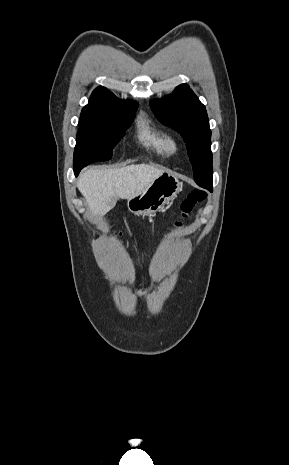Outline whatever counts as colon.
<instances>
[{
	"label": "colon",
	"mask_w": 289,
	"mask_h": 465,
	"mask_svg": "<svg viewBox=\"0 0 289 465\" xmlns=\"http://www.w3.org/2000/svg\"><path fill=\"white\" fill-rule=\"evenodd\" d=\"M207 192L203 189H194L192 190L186 198L182 201L180 205L181 209V219L175 222L176 226H180L183 223V220L186 219L195 209L196 205L205 200ZM121 235V232H120Z\"/></svg>",
	"instance_id": "colon-1"
}]
</instances>
